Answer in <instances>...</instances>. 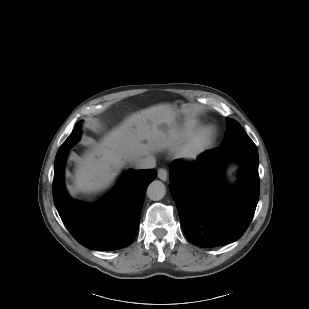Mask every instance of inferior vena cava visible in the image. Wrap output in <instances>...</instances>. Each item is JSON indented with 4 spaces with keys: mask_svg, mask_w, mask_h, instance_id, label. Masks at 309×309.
Returning <instances> with one entry per match:
<instances>
[{
    "mask_svg": "<svg viewBox=\"0 0 309 309\" xmlns=\"http://www.w3.org/2000/svg\"><path fill=\"white\" fill-rule=\"evenodd\" d=\"M134 166L137 169H150L156 166V160L154 157L138 158L134 161Z\"/></svg>",
    "mask_w": 309,
    "mask_h": 309,
    "instance_id": "1",
    "label": "inferior vena cava"
}]
</instances>
